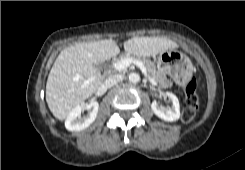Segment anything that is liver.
Returning a JSON list of instances; mask_svg holds the SVG:
<instances>
[{"mask_svg":"<svg viewBox=\"0 0 245 170\" xmlns=\"http://www.w3.org/2000/svg\"><path fill=\"white\" fill-rule=\"evenodd\" d=\"M132 55L156 56L177 44L165 37H134L123 43ZM120 53L114 40L76 43L56 58L46 84V102L58 120H64L77 105L92 96L104 80L96 67Z\"/></svg>","mask_w":245,"mask_h":170,"instance_id":"1","label":"liver"}]
</instances>
